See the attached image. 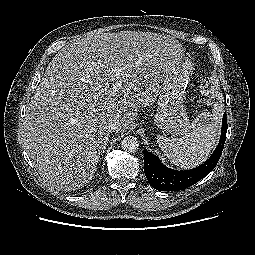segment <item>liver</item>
Segmentation results:
<instances>
[{
  "instance_id": "liver-1",
  "label": "liver",
  "mask_w": 255,
  "mask_h": 255,
  "mask_svg": "<svg viewBox=\"0 0 255 255\" xmlns=\"http://www.w3.org/2000/svg\"><path fill=\"white\" fill-rule=\"evenodd\" d=\"M184 52L169 35L137 31L90 33L58 51L24 122L25 149L44 182L62 191L88 184L109 140L108 122L127 130L139 108L156 101ZM112 67L124 68L119 79Z\"/></svg>"
}]
</instances>
